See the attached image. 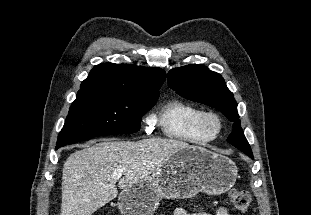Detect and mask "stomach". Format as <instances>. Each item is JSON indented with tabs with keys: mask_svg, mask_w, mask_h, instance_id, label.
<instances>
[{
	"mask_svg": "<svg viewBox=\"0 0 311 215\" xmlns=\"http://www.w3.org/2000/svg\"><path fill=\"white\" fill-rule=\"evenodd\" d=\"M237 167L226 156L189 146L163 162L153 174L118 197L123 215H153L162 198L185 199L204 192L219 195L236 181Z\"/></svg>",
	"mask_w": 311,
	"mask_h": 215,
	"instance_id": "0dacf381",
	"label": "stomach"
}]
</instances>
